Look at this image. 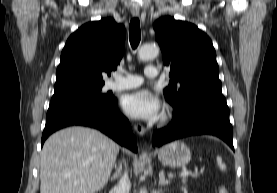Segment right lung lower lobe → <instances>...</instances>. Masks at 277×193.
Wrapping results in <instances>:
<instances>
[{
    "label": "right lung lower lobe",
    "mask_w": 277,
    "mask_h": 193,
    "mask_svg": "<svg viewBox=\"0 0 277 193\" xmlns=\"http://www.w3.org/2000/svg\"><path fill=\"white\" fill-rule=\"evenodd\" d=\"M72 125L96 128L120 145L137 152L132 128L117 109L114 97H100L79 93L54 94L46 116L41 145L53 132Z\"/></svg>",
    "instance_id": "right-lung-lower-lobe-1"
}]
</instances>
